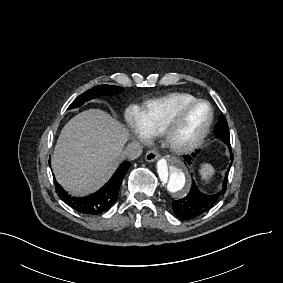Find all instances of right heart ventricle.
<instances>
[{
    "instance_id": "obj_1",
    "label": "right heart ventricle",
    "mask_w": 283,
    "mask_h": 283,
    "mask_svg": "<svg viewBox=\"0 0 283 283\" xmlns=\"http://www.w3.org/2000/svg\"><path fill=\"white\" fill-rule=\"evenodd\" d=\"M165 98L176 100L177 103L174 104V106L178 108H182V105L188 101L198 99L195 95L190 93H173ZM163 99L146 102L138 109L144 124L152 136H158L160 127L159 116L162 110L161 102Z\"/></svg>"
}]
</instances>
